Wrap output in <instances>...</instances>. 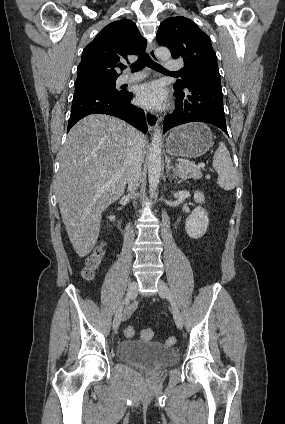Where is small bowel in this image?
I'll list each match as a JSON object with an SVG mask.
<instances>
[{"label":"small bowel","mask_w":285,"mask_h":424,"mask_svg":"<svg viewBox=\"0 0 285 424\" xmlns=\"http://www.w3.org/2000/svg\"><path fill=\"white\" fill-rule=\"evenodd\" d=\"M131 313V309H129V314Z\"/></svg>","instance_id":"c3829d8e"}]
</instances>
